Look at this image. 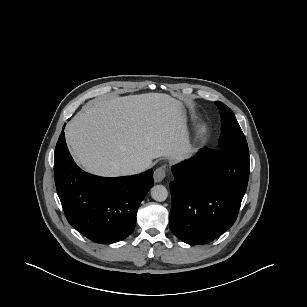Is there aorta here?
Segmentation results:
<instances>
[{
	"label": "aorta",
	"mask_w": 307,
	"mask_h": 307,
	"mask_svg": "<svg viewBox=\"0 0 307 307\" xmlns=\"http://www.w3.org/2000/svg\"><path fill=\"white\" fill-rule=\"evenodd\" d=\"M151 197L155 201H165L168 197V191L165 186L163 185H155L151 189Z\"/></svg>",
	"instance_id": "obj_1"
}]
</instances>
